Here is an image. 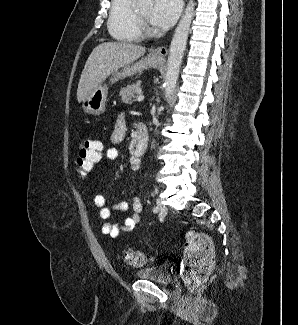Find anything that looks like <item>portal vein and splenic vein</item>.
<instances>
[{
    "label": "portal vein and splenic vein",
    "instance_id": "18ae733b",
    "mask_svg": "<svg viewBox=\"0 0 298 325\" xmlns=\"http://www.w3.org/2000/svg\"><path fill=\"white\" fill-rule=\"evenodd\" d=\"M144 98V94H142V92H138V96L136 98L137 102H141V100H144Z\"/></svg>",
    "mask_w": 298,
    "mask_h": 325
}]
</instances>
